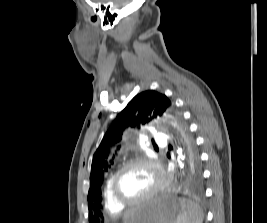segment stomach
Here are the masks:
<instances>
[{
  "label": "stomach",
  "mask_w": 267,
  "mask_h": 223,
  "mask_svg": "<svg viewBox=\"0 0 267 223\" xmlns=\"http://www.w3.org/2000/svg\"><path fill=\"white\" fill-rule=\"evenodd\" d=\"M179 210L177 199L164 193L136 206L124 223H176Z\"/></svg>",
  "instance_id": "1"
}]
</instances>
